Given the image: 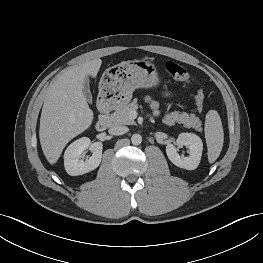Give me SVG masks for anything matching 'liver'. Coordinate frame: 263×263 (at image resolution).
<instances>
[{"label":"liver","instance_id":"liver-1","mask_svg":"<svg viewBox=\"0 0 263 263\" xmlns=\"http://www.w3.org/2000/svg\"><path fill=\"white\" fill-rule=\"evenodd\" d=\"M101 64V59H94L70 67L51 83L39 128L41 148L50 164L58 161L71 139L91 126L94 114L83 94V83L89 75L97 76Z\"/></svg>","mask_w":263,"mask_h":263}]
</instances>
